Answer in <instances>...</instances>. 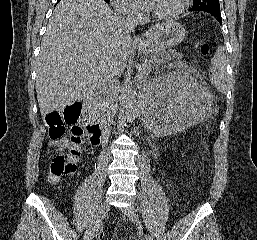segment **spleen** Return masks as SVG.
I'll return each instance as SVG.
<instances>
[{"label":"spleen","mask_w":257,"mask_h":240,"mask_svg":"<svg viewBox=\"0 0 257 240\" xmlns=\"http://www.w3.org/2000/svg\"><path fill=\"white\" fill-rule=\"evenodd\" d=\"M210 81L212 85L221 93L228 90V75L226 72V56L222 46L218 47L211 60Z\"/></svg>","instance_id":"spleen-1"}]
</instances>
